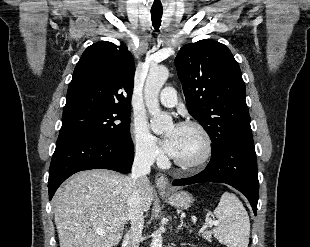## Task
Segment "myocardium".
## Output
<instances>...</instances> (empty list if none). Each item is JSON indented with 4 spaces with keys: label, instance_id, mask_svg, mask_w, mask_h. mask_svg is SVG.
Masks as SVG:
<instances>
[{
    "label": "myocardium",
    "instance_id": "1",
    "mask_svg": "<svg viewBox=\"0 0 310 247\" xmlns=\"http://www.w3.org/2000/svg\"><path fill=\"white\" fill-rule=\"evenodd\" d=\"M178 126L198 130L204 139V152L199 159L193 162H183L174 157L171 158L172 162L183 170L194 171L202 168L210 160L213 153V141L211 135L202 124L196 121H183Z\"/></svg>",
    "mask_w": 310,
    "mask_h": 247
}]
</instances>
